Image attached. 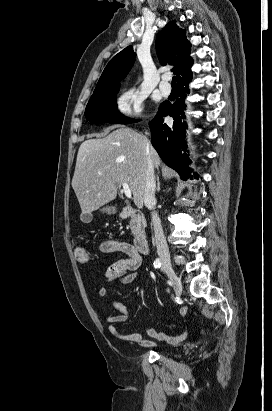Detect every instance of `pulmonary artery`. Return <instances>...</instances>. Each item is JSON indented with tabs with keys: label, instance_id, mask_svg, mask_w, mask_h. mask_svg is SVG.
<instances>
[{
	"label": "pulmonary artery",
	"instance_id": "pulmonary-artery-1",
	"mask_svg": "<svg viewBox=\"0 0 272 411\" xmlns=\"http://www.w3.org/2000/svg\"><path fill=\"white\" fill-rule=\"evenodd\" d=\"M169 78H170V75H169V74H164V75L162 76V81H161V83H160V85H159V89H160L161 93H162L164 96H167V95H169V94L171 93V86H170V84L168 83Z\"/></svg>",
	"mask_w": 272,
	"mask_h": 411
}]
</instances>
